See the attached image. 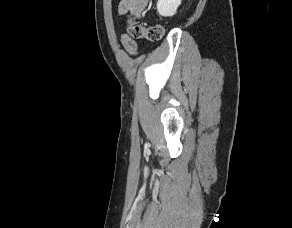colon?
<instances>
[{
	"label": "colon",
	"mask_w": 292,
	"mask_h": 228,
	"mask_svg": "<svg viewBox=\"0 0 292 228\" xmlns=\"http://www.w3.org/2000/svg\"><path fill=\"white\" fill-rule=\"evenodd\" d=\"M128 21V33L135 39L159 41L164 35L165 31L161 25L143 26L136 23L132 18Z\"/></svg>",
	"instance_id": "obj_1"
}]
</instances>
